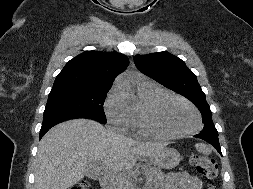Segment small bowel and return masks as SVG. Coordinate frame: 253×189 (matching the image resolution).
Masks as SVG:
<instances>
[{"mask_svg":"<svg viewBox=\"0 0 253 189\" xmlns=\"http://www.w3.org/2000/svg\"><path fill=\"white\" fill-rule=\"evenodd\" d=\"M164 189H201L202 181L186 171L168 174Z\"/></svg>","mask_w":253,"mask_h":189,"instance_id":"obj_1","label":"small bowel"}]
</instances>
